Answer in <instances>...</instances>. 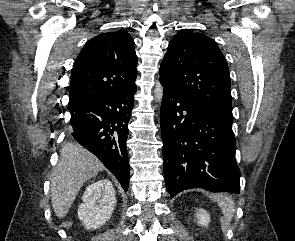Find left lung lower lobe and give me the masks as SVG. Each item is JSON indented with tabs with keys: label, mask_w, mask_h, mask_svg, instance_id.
I'll list each match as a JSON object with an SVG mask.
<instances>
[{
	"label": "left lung lower lobe",
	"mask_w": 295,
	"mask_h": 241,
	"mask_svg": "<svg viewBox=\"0 0 295 241\" xmlns=\"http://www.w3.org/2000/svg\"><path fill=\"white\" fill-rule=\"evenodd\" d=\"M164 177L171 197L190 188L240 192L232 123L160 80Z\"/></svg>",
	"instance_id": "obj_1"
}]
</instances>
